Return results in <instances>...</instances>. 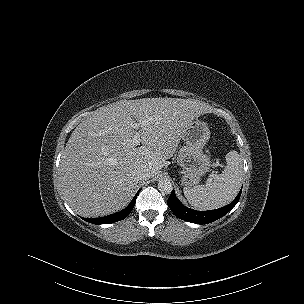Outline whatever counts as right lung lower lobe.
I'll use <instances>...</instances> for the list:
<instances>
[{
  "label": "right lung lower lobe",
  "mask_w": 304,
  "mask_h": 304,
  "mask_svg": "<svg viewBox=\"0 0 304 304\" xmlns=\"http://www.w3.org/2000/svg\"><path fill=\"white\" fill-rule=\"evenodd\" d=\"M139 192H140V190L134 196L131 203L124 210H122L118 213H115V214H112V215H109V216H105V217H101V218H93V219L83 218V219L85 221H87L89 223H93V224H110V223H114V222L123 220L124 218H126L130 214V212L134 208L136 198H137V195H138Z\"/></svg>",
  "instance_id": "1"
}]
</instances>
